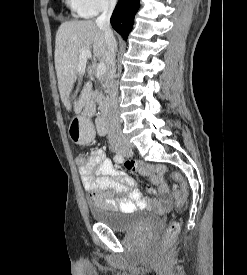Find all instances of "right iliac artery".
Returning a JSON list of instances; mask_svg holds the SVG:
<instances>
[{
	"mask_svg": "<svg viewBox=\"0 0 247 275\" xmlns=\"http://www.w3.org/2000/svg\"><path fill=\"white\" fill-rule=\"evenodd\" d=\"M113 159L117 163H122L124 160V157L121 154H116Z\"/></svg>",
	"mask_w": 247,
	"mask_h": 275,
	"instance_id": "right-iliac-artery-1",
	"label": "right iliac artery"
}]
</instances>
